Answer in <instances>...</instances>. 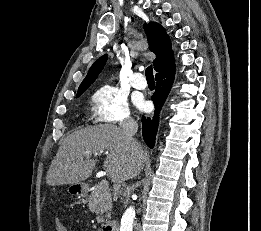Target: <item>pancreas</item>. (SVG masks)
<instances>
[{
  "mask_svg": "<svg viewBox=\"0 0 261 231\" xmlns=\"http://www.w3.org/2000/svg\"><path fill=\"white\" fill-rule=\"evenodd\" d=\"M87 202L90 211L97 214L96 220L98 223H103L110 218L112 197L109 190L100 188L99 184L93 186Z\"/></svg>",
  "mask_w": 261,
  "mask_h": 231,
  "instance_id": "cf45deb5",
  "label": "pancreas"
}]
</instances>
